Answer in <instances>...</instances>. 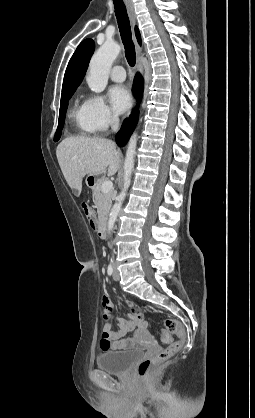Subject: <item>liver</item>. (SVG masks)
I'll list each match as a JSON object with an SVG mask.
<instances>
[{
  "label": "liver",
  "instance_id": "6515ba94",
  "mask_svg": "<svg viewBox=\"0 0 255 418\" xmlns=\"http://www.w3.org/2000/svg\"><path fill=\"white\" fill-rule=\"evenodd\" d=\"M56 155L64 178L77 196L85 175H99L108 168V176H113L120 164L115 143L99 137H68L57 146Z\"/></svg>",
  "mask_w": 255,
  "mask_h": 418
}]
</instances>
